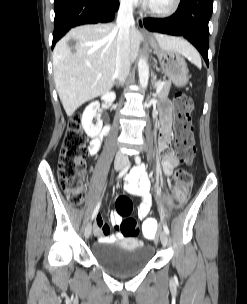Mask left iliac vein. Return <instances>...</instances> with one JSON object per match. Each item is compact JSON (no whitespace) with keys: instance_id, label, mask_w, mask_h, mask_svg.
I'll return each mask as SVG.
<instances>
[{"instance_id":"left-iliac-vein-1","label":"left iliac vein","mask_w":247,"mask_h":304,"mask_svg":"<svg viewBox=\"0 0 247 304\" xmlns=\"http://www.w3.org/2000/svg\"><path fill=\"white\" fill-rule=\"evenodd\" d=\"M160 240H161V243H162L163 246L167 245V243H168V235L166 234L165 231H162L160 233Z\"/></svg>"}]
</instances>
